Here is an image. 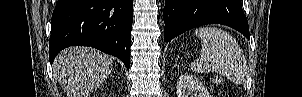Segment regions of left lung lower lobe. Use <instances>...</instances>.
<instances>
[{"label":"left lung lower lobe","instance_id":"1","mask_svg":"<svg viewBox=\"0 0 302 97\" xmlns=\"http://www.w3.org/2000/svg\"><path fill=\"white\" fill-rule=\"evenodd\" d=\"M165 41L201 25L223 24L249 39L241 0H165Z\"/></svg>","mask_w":302,"mask_h":97}]
</instances>
